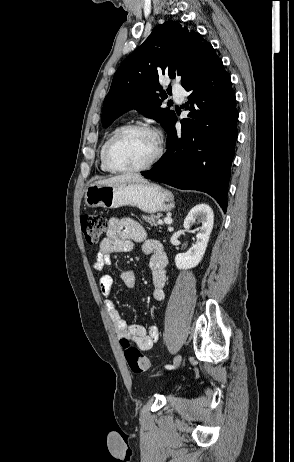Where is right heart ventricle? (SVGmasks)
<instances>
[{
	"label": "right heart ventricle",
	"instance_id": "right-heart-ventricle-1",
	"mask_svg": "<svg viewBox=\"0 0 294 462\" xmlns=\"http://www.w3.org/2000/svg\"><path fill=\"white\" fill-rule=\"evenodd\" d=\"M121 125L120 124H117L115 125L114 127H112V129L109 131V133L107 134L105 140L103 141L100 149H99V166H100V169L102 172H105V173H108L110 172L104 165L103 163V150H104V147H105V144L107 143V141L109 140V138L113 135V133L118 129L120 128Z\"/></svg>",
	"mask_w": 294,
	"mask_h": 462
}]
</instances>
